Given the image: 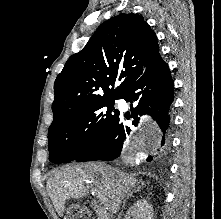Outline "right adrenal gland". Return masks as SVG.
<instances>
[{
	"instance_id": "obj_1",
	"label": "right adrenal gland",
	"mask_w": 221,
	"mask_h": 219,
	"mask_svg": "<svg viewBox=\"0 0 221 219\" xmlns=\"http://www.w3.org/2000/svg\"><path fill=\"white\" fill-rule=\"evenodd\" d=\"M140 190H141V186H138L137 188L133 189V191L129 194L127 198H131L133 196V193L139 192ZM125 202L126 201L123 202V207L125 206Z\"/></svg>"
}]
</instances>
